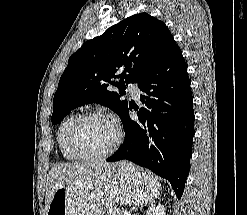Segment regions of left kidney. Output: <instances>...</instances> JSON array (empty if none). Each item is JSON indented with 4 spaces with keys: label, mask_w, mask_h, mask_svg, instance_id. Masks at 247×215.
<instances>
[{
    "label": "left kidney",
    "mask_w": 247,
    "mask_h": 215,
    "mask_svg": "<svg viewBox=\"0 0 247 215\" xmlns=\"http://www.w3.org/2000/svg\"><path fill=\"white\" fill-rule=\"evenodd\" d=\"M146 215H165V208L161 204L151 206L148 208Z\"/></svg>",
    "instance_id": "left-kidney-1"
}]
</instances>
